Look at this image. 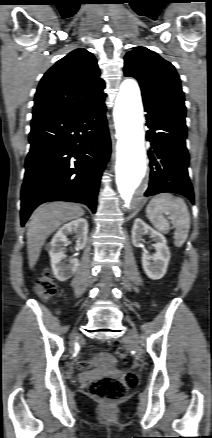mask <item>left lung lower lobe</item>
<instances>
[{
  "label": "left lung lower lobe",
  "instance_id": "0a47b994",
  "mask_svg": "<svg viewBox=\"0 0 212 438\" xmlns=\"http://www.w3.org/2000/svg\"><path fill=\"white\" fill-rule=\"evenodd\" d=\"M146 138L151 144L150 183L145 196L173 192L194 202L192 184L188 176L189 155L185 140V114L144 102Z\"/></svg>",
  "mask_w": 212,
  "mask_h": 438
}]
</instances>
